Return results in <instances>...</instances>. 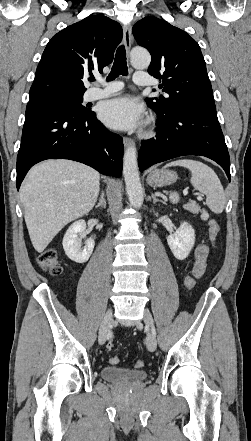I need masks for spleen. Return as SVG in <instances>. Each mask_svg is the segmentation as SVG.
<instances>
[{
  "label": "spleen",
  "mask_w": 251,
  "mask_h": 441,
  "mask_svg": "<svg viewBox=\"0 0 251 441\" xmlns=\"http://www.w3.org/2000/svg\"><path fill=\"white\" fill-rule=\"evenodd\" d=\"M182 166L191 171V184L199 192L206 195V205L216 213H222L226 198L223 186L214 170L201 161L193 159H178L168 163L165 167ZM170 202L177 203L179 195L174 192L169 196Z\"/></svg>",
  "instance_id": "spleen-1"
}]
</instances>
